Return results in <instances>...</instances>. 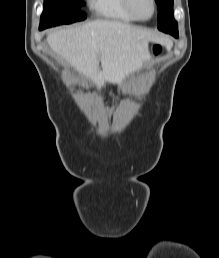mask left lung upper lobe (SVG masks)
Returning <instances> with one entry per match:
<instances>
[{
	"mask_svg": "<svg viewBox=\"0 0 219 258\" xmlns=\"http://www.w3.org/2000/svg\"><path fill=\"white\" fill-rule=\"evenodd\" d=\"M158 6V29L165 33L178 31L173 15V0H155Z\"/></svg>",
	"mask_w": 219,
	"mask_h": 258,
	"instance_id": "left-lung-upper-lobe-1",
	"label": "left lung upper lobe"
}]
</instances>
